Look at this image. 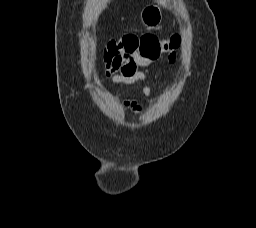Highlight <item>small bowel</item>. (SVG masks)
Wrapping results in <instances>:
<instances>
[{
    "mask_svg": "<svg viewBox=\"0 0 256 228\" xmlns=\"http://www.w3.org/2000/svg\"><path fill=\"white\" fill-rule=\"evenodd\" d=\"M163 50H171L167 45ZM175 57L174 53L170 55V61H173ZM161 58V54L157 58H150L142 55L138 52L125 54L121 56L115 64L106 66L107 76L114 83L119 84H134L137 82L142 83V92L144 96L151 94V88L147 85L146 75L139 68L146 67L152 64L154 61ZM123 106L133 112L140 113L142 108L136 100H125Z\"/></svg>",
    "mask_w": 256,
    "mask_h": 228,
    "instance_id": "small-bowel-1",
    "label": "small bowel"
}]
</instances>
